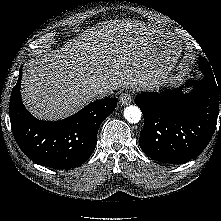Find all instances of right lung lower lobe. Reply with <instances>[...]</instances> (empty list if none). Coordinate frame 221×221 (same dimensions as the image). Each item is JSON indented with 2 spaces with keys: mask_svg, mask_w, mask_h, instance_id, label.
<instances>
[{
  "mask_svg": "<svg viewBox=\"0 0 221 221\" xmlns=\"http://www.w3.org/2000/svg\"><path fill=\"white\" fill-rule=\"evenodd\" d=\"M22 68L10 98V121L14 138L32 161L54 169H69L89 159L97 143L101 123L114 111L117 98L94 101L60 121L34 118L20 95Z\"/></svg>",
  "mask_w": 221,
  "mask_h": 221,
  "instance_id": "98d812e1",
  "label": "right lung lower lobe"
}]
</instances>
